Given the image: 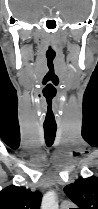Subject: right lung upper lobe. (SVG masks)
<instances>
[{
	"label": "right lung upper lobe",
	"instance_id": "cb5924a9",
	"mask_svg": "<svg viewBox=\"0 0 98 209\" xmlns=\"http://www.w3.org/2000/svg\"><path fill=\"white\" fill-rule=\"evenodd\" d=\"M42 194L10 185L0 191V209H39Z\"/></svg>",
	"mask_w": 98,
	"mask_h": 209
}]
</instances>
